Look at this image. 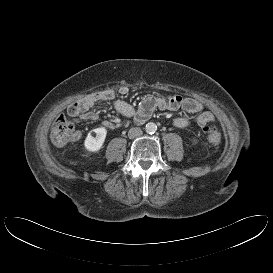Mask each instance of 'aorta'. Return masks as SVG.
<instances>
[{"label": "aorta", "mask_w": 273, "mask_h": 273, "mask_svg": "<svg viewBox=\"0 0 273 273\" xmlns=\"http://www.w3.org/2000/svg\"><path fill=\"white\" fill-rule=\"evenodd\" d=\"M145 130H146L147 133L153 134L157 130V125L155 123H153V122H149V123L146 124Z\"/></svg>", "instance_id": "aorta-1"}]
</instances>
